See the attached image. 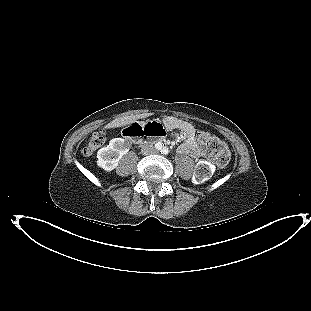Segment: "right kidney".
Returning a JSON list of instances; mask_svg holds the SVG:
<instances>
[{
    "label": "right kidney",
    "mask_w": 311,
    "mask_h": 311,
    "mask_svg": "<svg viewBox=\"0 0 311 311\" xmlns=\"http://www.w3.org/2000/svg\"><path fill=\"white\" fill-rule=\"evenodd\" d=\"M129 144L122 138L111 139L109 145L97 152V165L109 172L114 170L123 155L129 151Z\"/></svg>",
    "instance_id": "right-kidney-1"
}]
</instances>
